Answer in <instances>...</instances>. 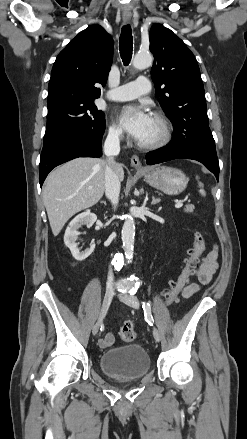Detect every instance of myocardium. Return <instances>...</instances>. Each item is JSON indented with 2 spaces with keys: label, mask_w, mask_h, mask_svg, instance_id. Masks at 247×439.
I'll return each instance as SVG.
<instances>
[{
  "label": "myocardium",
  "mask_w": 247,
  "mask_h": 439,
  "mask_svg": "<svg viewBox=\"0 0 247 439\" xmlns=\"http://www.w3.org/2000/svg\"><path fill=\"white\" fill-rule=\"evenodd\" d=\"M153 118L160 125L161 135L157 140H155L153 142L144 143V142L138 141V146L142 149H146V150L159 149V148H162V147L166 146L167 144H169V142L172 139V127H171L168 119L163 114H161L159 112H155L153 114Z\"/></svg>",
  "instance_id": "myocardium-1"
}]
</instances>
